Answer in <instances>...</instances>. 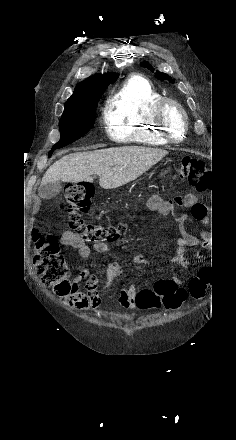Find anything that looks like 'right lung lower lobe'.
Segmentation results:
<instances>
[{
  "instance_id": "1",
  "label": "right lung lower lobe",
  "mask_w": 236,
  "mask_h": 440,
  "mask_svg": "<svg viewBox=\"0 0 236 440\" xmlns=\"http://www.w3.org/2000/svg\"><path fill=\"white\" fill-rule=\"evenodd\" d=\"M53 151H54V150H51V151L49 152V154H48L49 157L52 155Z\"/></svg>"
}]
</instances>
